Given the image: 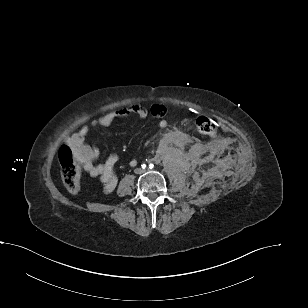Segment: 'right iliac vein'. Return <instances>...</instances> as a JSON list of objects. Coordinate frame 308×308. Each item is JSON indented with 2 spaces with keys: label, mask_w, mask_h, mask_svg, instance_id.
I'll return each mask as SVG.
<instances>
[{
  "label": "right iliac vein",
  "mask_w": 308,
  "mask_h": 308,
  "mask_svg": "<svg viewBox=\"0 0 308 308\" xmlns=\"http://www.w3.org/2000/svg\"><path fill=\"white\" fill-rule=\"evenodd\" d=\"M135 172H136L137 174H141V173H142V169H140V168H139V169H136Z\"/></svg>",
  "instance_id": "1"
}]
</instances>
